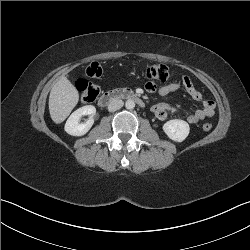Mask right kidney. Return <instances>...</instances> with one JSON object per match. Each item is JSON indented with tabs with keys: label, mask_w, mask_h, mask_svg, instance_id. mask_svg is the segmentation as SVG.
<instances>
[{
	"label": "right kidney",
	"mask_w": 250,
	"mask_h": 250,
	"mask_svg": "<svg viewBox=\"0 0 250 250\" xmlns=\"http://www.w3.org/2000/svg\"><path fill=\"white\" fill-rule=\"evenodd\" d=\"M96 108L92 105L83 106L74 111L65 124V131L73 136H82L86 134L94 123V115ZM84 115H89V119L85 123H79L80 118Z\"/></svg>",
	"instance_id": "ca27d5eb"
}]
</instances>
